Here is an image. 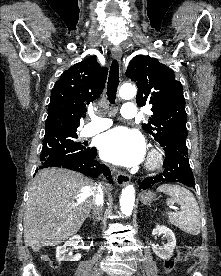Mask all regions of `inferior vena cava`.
<instances>
[{"mask_svg":"<svg viewBox=\"0 0 221 276\" xmlns=\"http://www.w3.org/2000/svg\"><path fill=\"white\" fill-rule=\"evenodd\" d=\"M93 213L100 216L103 211V187L99 185L96 189L93 203H92Z\"/></svg>","mask_w":221,"mask_h":276,"instance_id":"obj_1","label":"inferior vena cava"}]
</instances>
